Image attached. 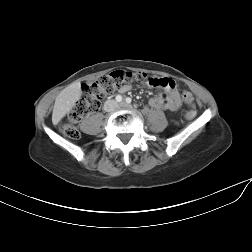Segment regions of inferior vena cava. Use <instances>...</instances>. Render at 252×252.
<instances>
[{
    "mask_svg": "<svg viewBox=\"0 0 252 252\" xmlns=\"http://www.w3.org/2000/svg\"><path fill=\"white\" fill-rule=\"evenodd\" d=\"M117 107V103L114 100H108L105 102L104 110L105 111H112Z\"/></svg>",
    "mask_w": 252,
    "mask_h": 252,
    "instance_id": "inferior-vena-cava-1",
    "label": "inferior vena cava"
}]
</instances>
